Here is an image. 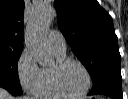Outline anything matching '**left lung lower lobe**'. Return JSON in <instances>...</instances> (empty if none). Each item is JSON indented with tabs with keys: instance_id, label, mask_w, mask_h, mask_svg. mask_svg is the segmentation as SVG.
Listing matches in <instances>:
<instances>
[{
	"instance_id": "1",
	"label": "left lung lower lobe",
	"mask_w": 128,
	"mask_h": 99,
	"mask_svg": "<svg viewBox=\"0 0 128 99\" xmlns=\"http://www.w3.org/2000/svg\"><path fill=\"white\" fill-rule=\"evenodd\" d=\"M88 95H106L112 99H123L122 77L120 69H107L93 81Z\"/></svg>"
}]
</instances>
